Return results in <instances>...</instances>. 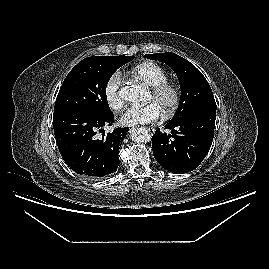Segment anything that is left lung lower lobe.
Masks as SVG:
<instances>
[{
  "label": "left lung lower lobe",
  "instance_id": "1",
  "mask_svg": "<svg viewBox=\"0 0 269 269\" xmlns=\"http://www.w3.org/2000/svg\"><path fill=\"white\" fill-rule=\"evenodd\" d=\"M215 107H204L180 121L165 125L171 134L156 130L153 155L166 170L183 174L196 169L205 158L214 137Z\"/></svg>",
  "mask_w": 269,
  "mask_h": 269
}]
</instances>
